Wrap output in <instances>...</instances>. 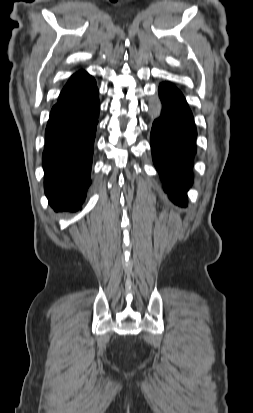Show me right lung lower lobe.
Returning <instances> with one entry per match:
<instances>
[{"instance_id":"right-lung-lower-lobe-1","label":"right lung lower lobe","mask_w":253,"mask_h":413,"mask_svg":"<svg viewBox=\"0 0 253 413\" xmlns=\"http://www.w3.org/2000/svg\"><path fill=\"white\" fill-rule=\"evenodd\" d=\"M99 108L94 84L50 112L42 160L45 194L55 211H78L85 199Z\"/></svg>"}]
</instances>
